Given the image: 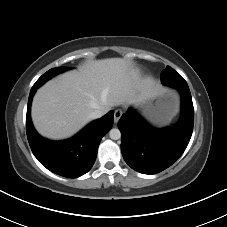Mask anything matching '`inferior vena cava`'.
Here are the masks:
<instances>
[{"instance_id":"1","label":"inferior vena cava","mask_w":227,"mask_h":227,"mask_svg":"<svg viewBox=\"0 0 227 227\" xmlns=\"http://www.w3.org/2000/svg\"><path fill=\"white\" fill-rule=\"evenodd\" d=\"M106 112H107V110L97 109V110L91 112L89 117L91 119H98V118L102 117Z\"/></svg>"}]
</instances>
